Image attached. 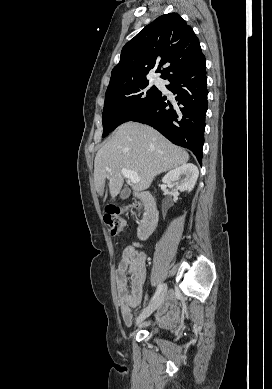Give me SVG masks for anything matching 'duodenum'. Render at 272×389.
Returning <instances> with one entry per match:
<instances>
[{
  "label": "duodenum",
  "mask_w": 272,
  "mask_h": 389,
  "mask_svg": "<svg viewBox=\"0 0 272 389\" xmlns=\"http://www.w3.org/2000/svg\"><path fill=\"white\" fill-rule=\"evenodd\" d=\"M136 196L143 202L147 213L142 219L138 229V236L141 240L147 239L155 230L158 221V211L152 195L148 192H137Z\"/></svg>",
  "instance_id": "duodenum-1"
}]
</instances>
